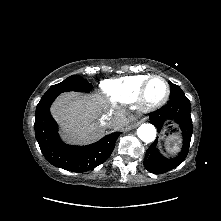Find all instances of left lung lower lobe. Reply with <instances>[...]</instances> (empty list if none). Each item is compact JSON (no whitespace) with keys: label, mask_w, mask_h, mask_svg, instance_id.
<instances>
[{"label":"left lung lower lobe","mask_w":221,"mask_h":221,"mask_svg":"<svg viewBox=\"0 0 221 221\" xmlns=\"http://www.w3.org/2000/svg\"><path fill=\"white\" fill-rule=\"evenodd\" d=\"M149 122L157 128L158 133L168 124L177 125L182 132V150L175 158L168 159L159 153L156 148L158 137L146 151L145 168L153 174H162L180 165L188 154L193 132L190 101L186 96L170 99L166 105L150 114Z\"/></svg>","instance_id":"0a47b994"}]
</instances>
